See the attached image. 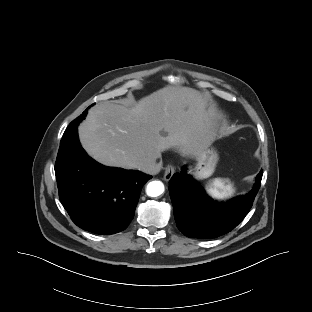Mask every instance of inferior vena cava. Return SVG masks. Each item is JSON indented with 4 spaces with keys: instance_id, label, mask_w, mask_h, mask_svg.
Segmentation results:
<instances>
[{
    "instance_id": "602c4592",
    "label": "inferior vena cava",
    "mask_w": 312,
    "mask_h": 312,
    "mask_svg": "<svg viewBox=\"0 0 312 312\" xmlns=\"http://www.w3.org/2000/svg\"><path fill=\"white\" fill-rule=\"evenodd\" d=\"M162 162L157 163L156 159H145L139 163L137 169L147 174H156L160 171Z\"/></svg>"
}]
</instances>
